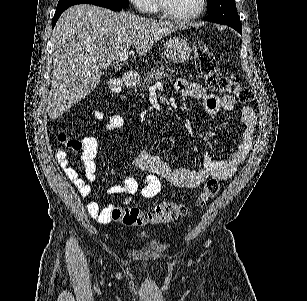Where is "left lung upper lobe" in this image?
<instances>
[{
	"mask_svg": "<svg viewBox=\"0 0 307 301\" xmlns=\"http://www.w3.org/2000/svg\"><path fill=\"white\" fill-rule=\"evenodd\" d=\"M207 21L226 24L241 33L242 24L238 17L236 4L233 0H207Z\"/></svg>",
	"mask_w": 307,
	"mask_h": 301,
	"instance_id": "obj_1",
	"label": "left lung upper lobe"
}]
</instances>
